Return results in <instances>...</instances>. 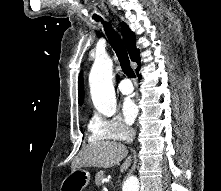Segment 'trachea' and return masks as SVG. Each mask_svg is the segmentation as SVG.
Listing matches in <instances>:
<instances>
[{"label":"trachea","mask_w":221,"mask_h":191,"mask_svg":"<svg viewBox=\"0 0 221 191\" xmlns=\"http://www.w3.org/2000/svg\"><path fill=\"white\" fill-rule=\"evenodd\" d=\"M97 21H101L103 23L106 35L110 41L112 48L114 49V51L119 59V62L121 64V68H122L123 72L129 78H135V73L130 66L128 54H127L126 48L122 42V39L120 38L118 33L112 28V26L109 22H105L104 20H102V18L97 19Z\"/></svg>","instance_id":"3493384b"}]
</instances>
